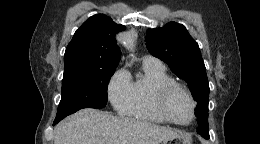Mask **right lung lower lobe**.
I'll use <instances>...</instances> for the list:
<instances>
[{
    "mask_svg": "<svg viewBox=\"0 0 260 144\" xmlns=\"http://www.w3.org/2000/svg\"><path fill=\"white\" fill-rule=\"evenodd\" d=\"M56 123H58V122L54 121V123H53V124H56Z\"/></svg>",
    "mask_w": 260,
    "mask_h": 144,
    "instance_id": "right-lung-lower-lobe-1",
    "label": "right lung lower lobe"
}]
</instances>
